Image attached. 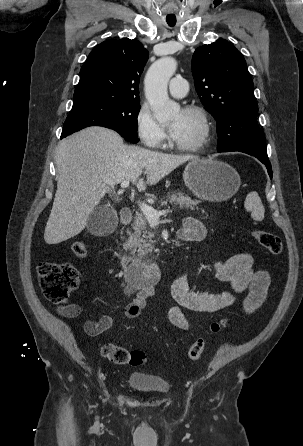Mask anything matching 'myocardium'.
I'll return each instance as SVG.
<instances>
[{"mask_svg":"<svg viewBox=\"0 0 303 446\" xmlns=\"http://www.w3.org/2000/svg\"><path fill=\"white\" fill-rule=\"evenodd\" d=\"M182 112L196 114L201 119L203 126L202 133L199 139L192 144H180L176 142L174 139H172L171 144L174 148L183 152L199 151L208 143L211 137L212 126L208 112L203 107L198 105L185 106L182 109Z\"/></svg>","mask_w":303,"mask_h":446,"instance_id":"obj_1","label":"myocardium"}]
</instances>
